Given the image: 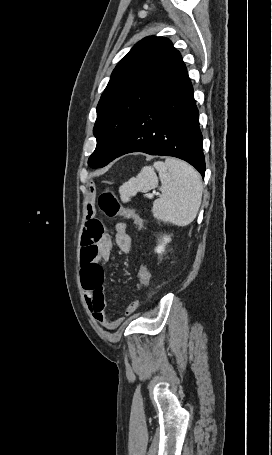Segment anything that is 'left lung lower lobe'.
Segmentation results:
<instances>
[{
  "label": "left lung lower lobe",
  "instance_id": "obj_1",
  "mask_svg": "<svg viewBox=\"0 0 272 455\" xmlns=\"http://www.w3.org/2000/svg\"><path fill=\"white\" fill-rule=\"evenodd\" d=\"M202 141L199 112L185 68L133 118L99 168L121 155L144 152L180 158L204 177Z\"/></svg>",
  "mask_w": 272,
  "mask_h": 455
}]
</instances>
